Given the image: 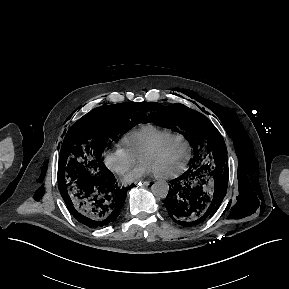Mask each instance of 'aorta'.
Here are the masks:
<instances>
[{"mask_svg":"<svg viewBox=\"0 0 289 289\" xmlns=\"http://www.w3.org/2000/svg\"><path fill=\"white\" fill-rule=\"evenodd\" d=\"M151 191L157 198H166L169 191V185L166 181L159 180L151 186Z\"/></svg>","mask_w":289,"mask_h":289,"instance_id":"aorta-1","label":"aorta"}]
</instances>
